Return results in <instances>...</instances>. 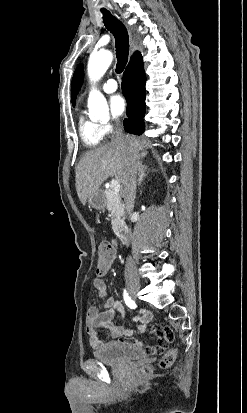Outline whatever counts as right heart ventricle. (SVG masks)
<instances>
[{
    "label": "right heart ventricle",
    "mask_w": 247,
    "mask_h": 413,
    "mask_svg": "<svg viewBox=\"0 0 247 413\" xmlns=\"http://www.w3.org/2000/svg\"><path fill=\"white\" fill-rule=\"evenodd\" d=\"M79 132L83 143L89 148H92V145H99L104 136L98 126L85 121L80 123Z\"/></svg>",
    "instance_id": "obj_1"
}]
</instances>
